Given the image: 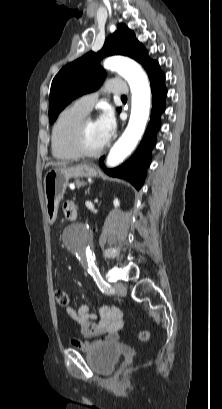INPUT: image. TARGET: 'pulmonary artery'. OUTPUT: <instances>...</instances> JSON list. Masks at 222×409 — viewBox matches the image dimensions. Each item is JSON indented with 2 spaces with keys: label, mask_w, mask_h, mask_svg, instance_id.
<instances>
[{
  "label": "pulmonary artery",
  "mask_w": 222,
  "mask_h": 409,
  "mask_svg": "<svg viewBox=\"0 0 222 409\" xmlns=\"http://www.w3.org/2000/svg\"><path fill=\"white\" fill-rule=\"evenodd\" d=\"M103 91L122 95H125L128 92L125 84L106 85L103 88ZM98 97H99L98 92L89 93L77 99L75 103L79 108L88 113L94 107L95 103L98 100Z\"/></svg>",
  "instance_id": "obj_1"
}]
</instances>
